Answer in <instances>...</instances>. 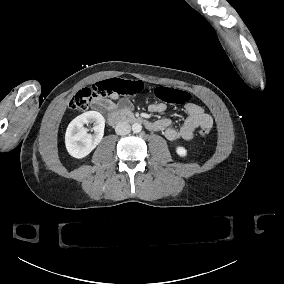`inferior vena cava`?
<instances>
[{
  "label": "inferior vena cava",
  "mask_w": 284,
  "mask_h": 284,
  "mask_svg": "<svg viewBox=\"0 0 284 284\" xmlns=\"http://www.w3.org/2000/svg\"><path fill=\"white\" fill-rule=\"evenodd\" d=\"M115 132L118 135H126L131 132V126L127 122H120L115 127Z\"/></svg>",
  "instance_id": "inferior-vena-cava-1"
}]
</instances>
